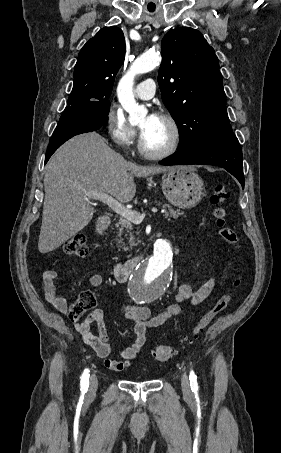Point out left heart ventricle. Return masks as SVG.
Returning a JSON list of instances; mask_svg holds the SVG:
<instances>
[{
	"mask_svg": "<svg viewBox=\"0 0 281 453\" xmlns=\"http://www.w3.org/2000/svg\"><path fill=\"white\" fill-rule=\"evenodd\" d=\"M146 120V116L141 119L139 123L141 129L145 126ZM142 135L146 147L151 151H163L172 141L170 129L159 118L151 123Z\"/></svg>",
	"mask_w": 281,
	"mask_h": 453,
	"instance_id": "left-heart-ventricle-1",
	"label": "left heart ventricle"
}]
</instances>
